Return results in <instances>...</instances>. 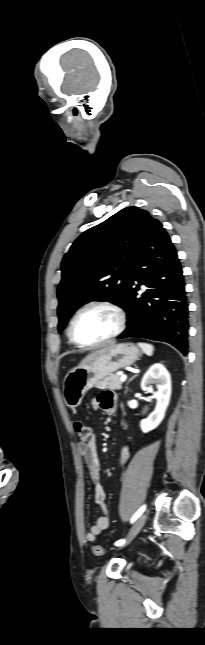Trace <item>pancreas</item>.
Listing matches in <instances>:
<instances>
[{
  "instance_id": "pancreas-1",
  "label": "pancreas",
  "mask_w": 205,
  "mask_h": 645,
  "mask_svg": "<svg viewBox=\"0 0 205 645\" xmlns=\"http://www.w3.org/2000/svg\"><path fill=\"white\" fill-rule=\"evenodd\" d=\"M120 377L119 375L112 374L97 382L96 387L99 389L120 390L122 388Z\"/></svg>"
}]
</instances>
